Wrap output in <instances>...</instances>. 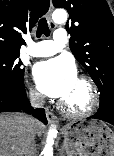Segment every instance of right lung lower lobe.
<instances>
[{
    "instance_id": "98d812e1",
    "label": "right lung lower lobe",
    "mask_w": 114,
    "mask_h": 156,
    "mask_svg": "<svg viewBox=\"0 0 114 156\" xmlns=\"http://www.w3.org/2000/svg\"><path fill=\"white\" fill-rule=\"evenodd\" d=\"M6 111H25L32 114L35 118L47 124L45 111L42 108L33 109L27 100L26 90L22 89L15 92L0 91V112Z\"/></svg>"
}]
</instances>
